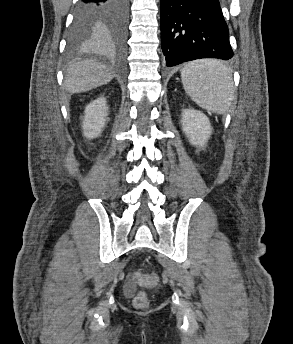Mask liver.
I'll list each match as a JSON object with an SVG mask.
<instances>
[{"label": "liver", "mask_w": 293, "mask_h": 344, "mask_svg": "<svg viewBox=\"0 0 293 344\" xmlns=\"http://www.w3.org/2000/svg\"><path fill=\"white\" fill-rule=\"evenodd\" d=\"M113 76L105 65L93 60L80 61L67 68L64 85L71 94L81 93L109 83Z\"/></svg>", "instance_id": "1"}]
</instances>
